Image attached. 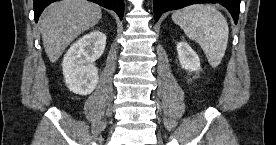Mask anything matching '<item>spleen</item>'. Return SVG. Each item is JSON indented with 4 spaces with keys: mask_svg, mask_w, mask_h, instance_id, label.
I'll list each match as a JSON object with an SVG mask.
<instances>
[{
    "mask_svg": "<svg viewBox=\"0 0 276 145\" xmlns=\"http://www.w3.org/2000/svg\"><path fill=\"white\" fill-rule=\"evenodd\" d=\"M172 20L195 40L212 67H217L225 54L229 29L225 17L212 5L193 4L175 11Z\"/></svg>",
    "mask_w": 276,
    "mask_h": 145,
    "instance_id": "obj_1",
    "label": "spleen"
}]
</instances>
